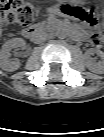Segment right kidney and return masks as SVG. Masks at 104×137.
<instances>
[{"label":"right kidney","instance_id":"1","mask_svg":"<svg viewBox=\"0 0 104 137\" xmlns=\"http://www.w3.org/2000/svg\"><path fill=\"white\" fill-rule=\"evenodd\" d=\"M25 41L22 38H13L8 40L0 50V67L5 71H15L20 67L18 59L11 60V51L14 48H25Z\"/></svg>","mask_w":104,"mask_h":137}]
</instances>
